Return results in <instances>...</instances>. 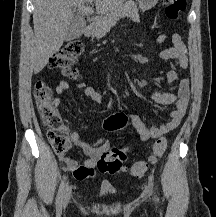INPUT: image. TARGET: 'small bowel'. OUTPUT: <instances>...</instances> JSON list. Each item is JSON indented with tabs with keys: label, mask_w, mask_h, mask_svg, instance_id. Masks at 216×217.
Segmentation results:
<instances>
[{
	"label": "small bowel",
	"mask_w": 216,
	"mask_h": 217,
	"mask_svg": "<svg viewBox=\"0 0 216 217\" xmlns=\"http://www.w3.org/2000/svg\"><path fill=\"white\" fill-rule=\"evenodd\" d=\"M158 42L165 44L167 42L171 43L170 47L163 49L160 53V59L163 61L175 60L181 70H185L188 67V54L186 46L184 45L179 34L174 33L168 36L166 33H162L158 36ZM179 77V71L176 69H171L166 74V81L169 86H172ZM70 87L68 82H61L55 88L57 94H64ZM77 87L82 91L86 98H89L97 103L102 102L101 91L91 87L86 86L83 83H78ZM190 97V82L188 79H182L178 85L176 93L171 92H153L151 98L153 101L159 105H170L174 104L175 108L169 114L170 119L168 122L156 126H146L142 119L132 110L129 112V119L132 127L134 128L137 136L142 141H148L151 139L159 138L171 131L175 130L179 124L182 122L189 103ZM61 101L59 98L54 99V105L56 107L60 106ZM69 138L72 144L79 149L85 155V159L82 165L77 166L80 170L79 175H74L77 180L83 181L94 177L96 164L103 152L109 148V141L106 138H100L96 142L90 143L84 141L80 138L76 131L66 128ZM108 187V183L103 184Z\"/></svg>",
	"instance_id": "1"
}]
</instances>
